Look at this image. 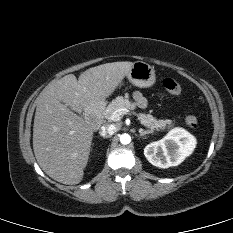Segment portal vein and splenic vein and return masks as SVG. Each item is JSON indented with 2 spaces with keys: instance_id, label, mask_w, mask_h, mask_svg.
Here are the masks:
<instances>
[{
  "instance_id": "1",
  "label": "portal vein and splenic vein",
  "mask_w": 233,
  "mask_h": 233,
  "mask_svg": "<svg viewBox=\"0 0 233 233\" xmlns=\"http://www.w3.org/2000/svg\"><path fill=\"white\" fill-rule=\"evenodd\" d=\"M129 112L126 108L117 109L110 117V121H119L121 115L127 114Z\"/></svg>"
}]
</instances>
